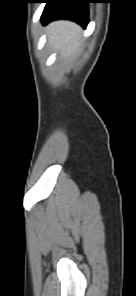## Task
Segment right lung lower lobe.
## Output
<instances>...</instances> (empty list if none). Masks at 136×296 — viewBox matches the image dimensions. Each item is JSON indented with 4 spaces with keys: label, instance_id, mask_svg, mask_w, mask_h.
<instances>
[{
    "label": "right lung lower lobe",
    "instance_id": "1",
    "mask_svg": "<svg viewBox=\"0 0 136 296\" xmlns=\"http://www.w3.org/2000/svg\"><path fill=\"white\" fill-rule=\"evenodd\" d=\"M47 3L41 20L43 24L55 19H69L82 27L88 24V3L92 0H45Z\"/></svg>",
    "mask_w": 136,
    "mask_h": 296
}]
</instances>
